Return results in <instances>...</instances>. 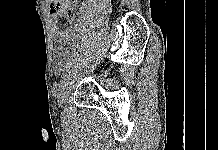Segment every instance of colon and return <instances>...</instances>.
Masks as SVG:
<instances>
[{
	"mask_svg": "<svg viewBox=\"0 0 218 150\" xmlns=\"http://www.w3.org/2000/svg\"><path fill=\"white\" fill-rule=\"evenodd\" d=\"M65 2L66 0H52L51 10L60 9L65 4Z\"/></svg>",
	"mask_w": 218,
	"mask_h": 150,
	"instance_id": "obj_1",
	"label": "colon"
}]
</instances>
